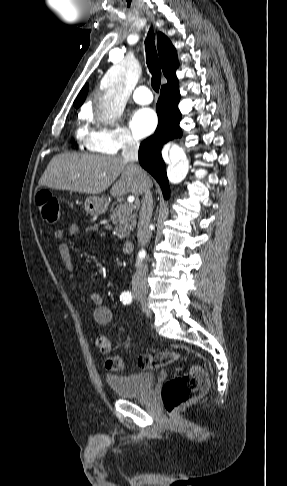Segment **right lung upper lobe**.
I'll use <instances>...</instances> for the list:
<instances>
[{"mask_svg": "<svg viewBox=\"0 0 287 486\" xmlns=\"http://www.w3.org/2000/svg\"><path fill=\"white\" fill-rule=\"evenodd\" d=\"M158 53L161 61L162 71L164 76L167 78V84H173L177 82V77L175 71L179 66L177 52L172 45L171 41L161 32L158 33ZM166 84V85H167ZM88 92V84H86L76 100L74 101V106L78 108L84 102Z\"/></svg>", "mask_w": 287, "mask_h": 486, "instance_id": "1", "label": "right lung upper lobe"}]
</instances>
